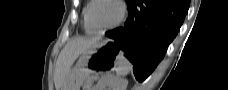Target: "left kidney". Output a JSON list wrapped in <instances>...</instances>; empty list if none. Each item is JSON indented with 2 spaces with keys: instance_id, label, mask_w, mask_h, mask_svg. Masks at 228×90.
Listing matches in <instances>:
<instances>
[{
  "instance_id": "5707ae66",
  "label": "left kidney",
  "mask_w": 228,
  "mask_h": 90,
  "mask_svg": "<svg viewBox=\"0 0 228 90\" xmlns=\"http://www.w3.org/2000/svg\"><path fill=\"white\" fill-rule=\"evenodd\" d=\"M127 85L126 79L114 75H105L99 80L94 90H126Z\"/></svg>"
}]
</instances>
